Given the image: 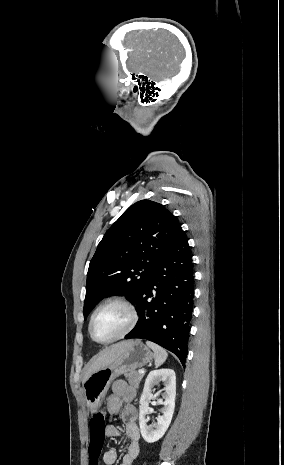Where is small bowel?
Returning a JSON list of instances; mask_svg holds the SVG:
<instances>
[{"label": "small bowel", "mask_w": 284, "mask_h": 465, "mask_svg": "<svg viewBox=\"0 0 284 465\" xmlns=\"http://www.w3.org/2000/svg\"><path fill=\"white\" fill-rule=\"evenodd\" d=\"M135 397L136 391L133 387H130L123 380H117L113 383L111 394L107 398L108 413L111 416L120 415L128 439L121 465H132L140 453V431L137 425L138 411L133 405ZM105 434L110 438H118L121 432L117 426L110 424L107 426ZM117 458V451L109 449L104 454L103 460L106 465H115Z\"/></svg>", "instance_id": "c3829d8e"}]
</instances>
